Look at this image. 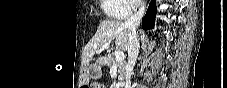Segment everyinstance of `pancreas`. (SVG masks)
Instances as JSON below:
<instances>
[{
  "mask_svg": "<svg viewBox=\"0 0 227 88\" xmlns=\"http://www.w3.org/2000/svg\"><path fill=\"white\" fill-rule=\"evenodd\" d=\"M106 65L108 67H112V66H117L118 68V74H119V78L121 81L124 80L125 78V70H126V63L121 61V62H116L115 58L111 55H108L106 57Z\"/></svg>",
  "mask_w": 227,
  "mask_h": 88,
  "instance_id": "1",
  "label": "pancreas"
}]
</instances>
